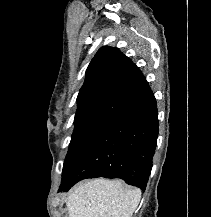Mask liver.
I'll use <instances>...</instances> for the list:
<instances>
[{"mask_svg":"<svg viewBox=\"0 0 211 217\" xmlns=\"http://www.w3.org/2000/svg\"><path fill=\"white\" fill-rule=\"evenodd\" d=\"M140 198V189L100 178L71 190L66 206L69 217H132Z\"/></svg>","mask_w":211,"mask_h":217,"instance_id":"obj_1","label":"liver"}]
</instances>
